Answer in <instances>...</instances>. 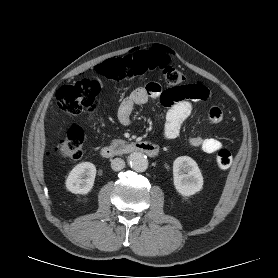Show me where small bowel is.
I'll return each instance as SVG.
<instances>
[{
	"label": "small bowel",
	"instance_id": "c3829d8e",
	"mask_svg": "<svg viewBox=\"0 0 278 278\" xmlns=\"http://www.w3.org/2000/svg\"><path fill=\"white\" fill-rule=\"evenodd\" d=\"M202 87L204 98L201 100H205L209 96V91L203 85ZM151 99H159L170 107L164 125V136L166 139L177 138L182 124L192 113V100L186 98L174 100L172 93L169 90L164 91L157 82H150L145 87L136 88L122 101L117 112L119 121L123 125H129L134 107L146 104ZM207 118L212 123L220 122L223 118L222 110L217 106H211ZM188 143L205 153H214L222 146L217 137L193 136L188 139Z\"/></svg>",
	"mask_w": 278,
	"mask_h": 278
}]
</instances>
